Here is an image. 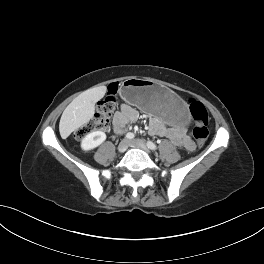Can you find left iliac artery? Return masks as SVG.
I'll use <instances>...</instances> for the list:
<instances>
[{"instance_id": "1", "label": "left iliac artery", "mask_w": 264, "mask_h": 264, "mask_svg": "<svg viewBox=\"0 0 264 264\" xmlns=\"http://www.w3.org/2000/svg\"><path fill=\"white\" fill-rule=\"evenodd\" d=\"M147 147L151 150H156L157 149V146L155 143H153L152 141H147L146 143Z\"/></svg>"}]
</instances>
